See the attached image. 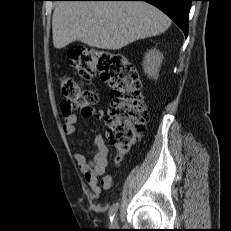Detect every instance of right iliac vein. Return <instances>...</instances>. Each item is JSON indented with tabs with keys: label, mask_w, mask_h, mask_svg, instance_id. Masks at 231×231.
<instances>
[{
	"label": "right iliac vein",
	"mask_w": 231,
	"mask_h": 231,
	"mask_svg": "<svg viewBox=\"0 0 231 231\" xmlns=\"http://www.w3.org/2000/svg\"><path fill=\"white\" fill-rule=\"evenodd\" d=\"M110 227H112V228L118 227L117 217L111 222Z\"/></svg>",
	"instance_id": "1"
}]
</instances>
